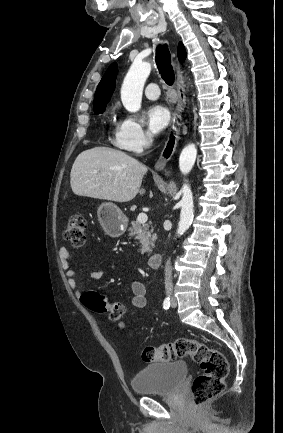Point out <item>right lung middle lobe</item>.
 <instances>
[{"label":"right lung middle lobe","instance_id":"obj_1","mask_svg":"<svg viewBox=\"0 0 283 433\" xmlns=\"http://www.w3.org/2000/svg\"><path fill=\"white\" fill-rule=\"evenodd\" d=\"M105 109H106V106H105V107L98 108V109L94 110V112H95V114H99V113L104 112Z\"/></svg>","mask_w":283,"mask_h":433}]
</instances>
